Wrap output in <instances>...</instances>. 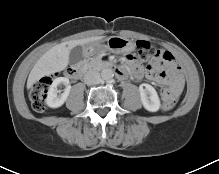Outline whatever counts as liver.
I'll return each instance as SVG.
<instances>
[{"mask_svg":"<svg viewBox=\"0 0 219 174\" xmlns=\"http://www.w3.org/2000/svg\"><path fill=\"white\" fill-rule=\"evenodd\" d=\"M103 38V36H95L79 40H71L52 47L40 57L32 68L28 76L27 88L30 89L32 85L43 76L64 70L68 66L69 53L72 48L99 41Z\"/></svg>","mask_w":219,"mask_h":174,"instance_id":"liver-1","label":"liver"}]
</instances>
